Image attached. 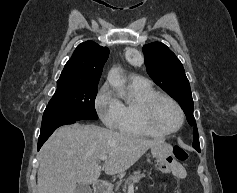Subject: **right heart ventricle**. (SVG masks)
<instances>
[{"label": "right heart ventricle", "mask_w": 237, "mask_h": 193, "mask_svg": "<svg viewBox=\"0 0 237 193\" xmlns=\"http://www.w3.org/2000/svg\"><path fill=\"white\" fill-rule=\"evenodd\" d=\"M127 93L128 97L119 101V116L115 129L132 136H160L147 129L140 119L143 104L157 94L156 90L148 82L130 81L127 86Z\"/></svg>", "instance_id": "obj_1"}]
</instances>
